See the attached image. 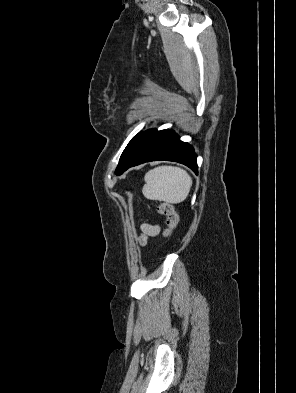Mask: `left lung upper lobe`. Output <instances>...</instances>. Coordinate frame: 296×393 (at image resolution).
<instances>
[{"label": "left lung upper lobe", "mask_w": 296, "mask_h": 393, "mask_svg": "<svg viewBox=\"0 0 296 393\" xmlns=\"http://www.w3.org/2000/svg\"><path fill=\"white\" fill-rule=\"evenodd\" d=\"M142 135V133L137 134L126 146L125 150L123 151L121 157H120V161L119 164L117 166L116 169V174H119L120 171L123 169L130 153L132 152L133 148L135 147L137 141L139 140L140 136Z\"/></svg>", "instance_id": "left-lung-upper-lobe-1"}]
</instances>
